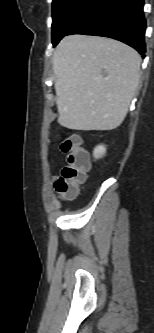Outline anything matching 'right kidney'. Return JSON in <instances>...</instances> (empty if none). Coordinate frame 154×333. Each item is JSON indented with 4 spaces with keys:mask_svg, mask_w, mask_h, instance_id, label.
Masks as SVG:
<instances>
[{
    "mask_svg": "<svg viewBox=\"0 0 154 333\" xmlns=\"http://www.w3.org/2000/svg\"><path fill=\"white\" fill-rule=\"evenodd\" d=\"M106 153V147L104 145H98L94 151L93 156L95 159L102 158Z\"/></svg>",
    "mask_w": 154,
    "mask_h": 333,
    "instance_id": "1",
    "label": "right kidney"
}]
</instances>
